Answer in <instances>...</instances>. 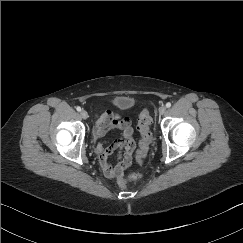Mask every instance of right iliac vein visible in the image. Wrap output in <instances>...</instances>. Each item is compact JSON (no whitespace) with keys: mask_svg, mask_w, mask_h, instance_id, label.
<instances>
[{"mask_svg":"<svg viewBox=\"0 0 243 243\" xmlns=\"http://www.w3.org/2000/svg\"><path fill=\"white\" fill-rule=\"evenodd\" d=\"M80 115H81V117H82L83 119H87V118H88V113H87L85 110H82V111L80 112Z\"/></svg>","mask_w":243,"mask_h":243,"instance_id":"obj_1","label":"right iliac vein"}]
</instances>
